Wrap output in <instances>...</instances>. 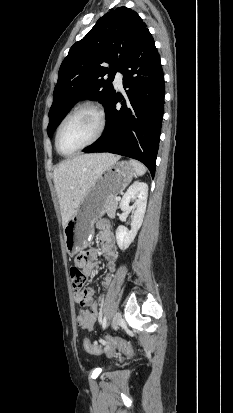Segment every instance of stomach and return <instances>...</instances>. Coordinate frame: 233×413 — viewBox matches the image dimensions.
Masks as SVG:
<instances>
[{"label":"stomach","instance_id":"obj_1","mask_svg":"<svg viewBox=\"0 0 233 413\" xmlns=\"http://www.w3.org/2000/svg\"><path fill=\"white\" fill-rule=\"evenodd\" d=\"M133 175L131 163L120 161L110 165L98 176L64 227V241L69 255L73 256L88 246L95 221L105 213L110 198L117 196L128 186Z\"/></svg>","mask_w":233,"mask_h":413}]
</instances>
